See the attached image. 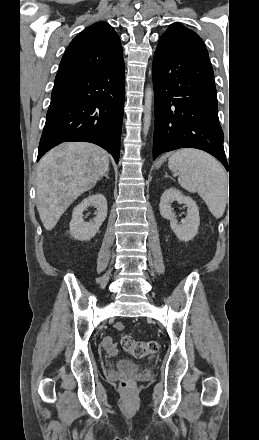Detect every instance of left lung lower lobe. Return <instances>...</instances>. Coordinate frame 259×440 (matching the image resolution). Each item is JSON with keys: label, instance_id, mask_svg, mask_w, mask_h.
<instances>
[{"label": "left lung lower lobe", "instance_id": "left-lung-lower-lobe-1", "mask_svg": "<svg viewBox=\"0 0 259 440\" xmlns=\"http://www.w3.org/2000/svg\"><path fill=\"white\" fill-rule=\"evenodd\" d=\"M153 159L179 148H197L228 170L218 119L214 73L208 53L160 40L154 54Z\"/></svg>", "mask_w": 259, "mask_h": 440}]
</instances>
